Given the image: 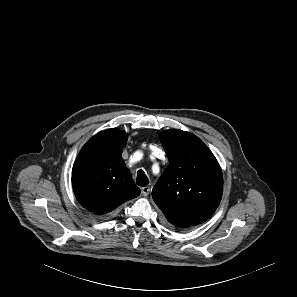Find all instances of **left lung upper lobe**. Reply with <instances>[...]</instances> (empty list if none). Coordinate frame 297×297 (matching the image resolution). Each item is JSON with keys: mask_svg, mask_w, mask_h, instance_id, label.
I'll return each mask as SVG.
<instances>
[{"mask_svg": "<svg viewBox=\"0 0 297 297\" xmlns=\"http://www.w3.org/2000/svg\"><path fill=\"white\" fill-rule=\"evenodd\" d=\"M169 165L152 190V197L166 219L187 228L208 220L223 192L218 161L195 135L177 129L160 133Z\"/></svg>", "mask_w": 297, "mask_h": 297, "instance_id": "obj_1", "label": "left lung upper lobe"}]
</instances>
